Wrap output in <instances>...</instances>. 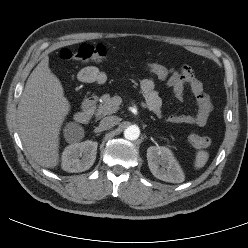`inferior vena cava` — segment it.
<instances>
[{"mask_svg":"<svg viewBox=\"0 0 248 248\" xmlns=\"http://www.w3.org/2000/svg\"><path fill=\"white\" fill-rule=\"evenodd\" d=\"M118 122H119V120L116 116H107L100 121L99 127L102 130H107V129H110L113 126L117 125Z\"/></svg>","mask_w":248,"mask_h":248,"instance_id":"1","label":"inferior vena cava"}]
</instances>
